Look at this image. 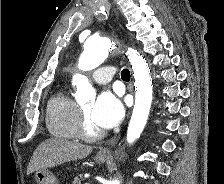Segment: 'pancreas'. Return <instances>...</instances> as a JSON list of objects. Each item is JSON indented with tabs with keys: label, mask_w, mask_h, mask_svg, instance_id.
<instances>
[{
	"label": "pancreas",
	"mask_w": 224,
	"mask_h": 184,
	"mask_svg": "<svg viewBox=\"0 0 224 184\" xmlns=\"http://www.w3.org/2000/svg\"><path fill=\"white\" fill-rule=\"evenodd\" d=\"M72 184H81V179H80V177H75V178L73 179Z\"/></svg>",
	"instance_id": "1"
}]
</instances>
